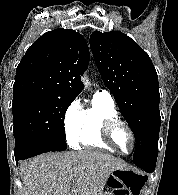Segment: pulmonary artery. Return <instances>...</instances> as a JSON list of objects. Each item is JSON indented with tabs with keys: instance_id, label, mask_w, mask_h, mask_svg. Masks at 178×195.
<instances>
[{
	"instance_id": "1",
	"label": "pulmonary artery",
	"mask_w": 178,
	"mask_h": 195,
	"mask_svg": "<svg viewBox=\"0 0 178 195\" xmlns=\"http://www.w3.org/2000/svg\"><path fill=\"white\" fill-rule=\"evenodd\" d=\"M96 94H101V95H104V96H106V97H108L110 99H113L111 93L108 90H106V89H99L96 92Z\"/></svg>"
}]
</instances>
